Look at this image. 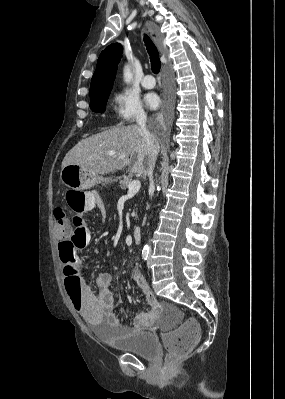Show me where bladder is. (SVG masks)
Masks as SVG:
<instances>
[{"mask_svg": "<svg viewBox=\"0 0 285 399\" xmlns=\"http://www.w3.org/2000/svg\"><path fill=\"white\" fill-rule=\"evenodd\" d=\"M89 324L98 336L104 335L101 330V322H90ZM106 340L123 352L131 353L145 359H154L159 354L158 342L155 336L149 332L132 331L130 335L125 337L111 336Z\"/></svg>", "mask_w": 285, "mask_h": 399, "instance_id": "31cf9c89", "label": "bladder"}]
</instances>
